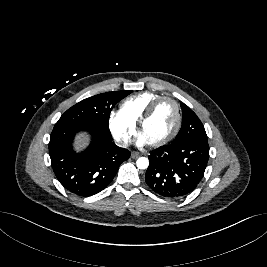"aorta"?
<instances>
[{
	"mask_svg": "<svg viewBox=\"0 0 267 267\" xmlns=\"http://www.w3.org/2000/svg\"><path fill=\"white\" fill-rule=\"evenodd\" d=\"M136 165L139 169H146L149 166V160L146 157H140L137 159Z\"/></svg>",
	"mask_w": 267,
	"mask_h": 267,
	"instance_id": "1",
	"label": "aorta"
}]
</instances>
